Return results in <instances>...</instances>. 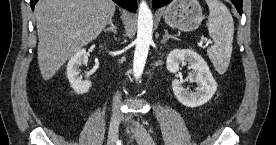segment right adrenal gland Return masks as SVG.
Masks as SVG:
<instances>
[{
  "mask_svg": "<svg viewBox=\"0 0 276 145\" xmlns=\"http://www.w3.org/2000/svg\"><path fill=\"white\" fill-rule=\"evenodd\" d=\"M110 26L107 29H104V32H112L114 35L117 33V27L114 25L113 21L110 20Z\"/></svg>",
  "mask_w": 276,
  "mask_h": 145,
  "instance_id": "2a0ac1e0",
  "label": "right adrenal gland"
}]
</instances>
